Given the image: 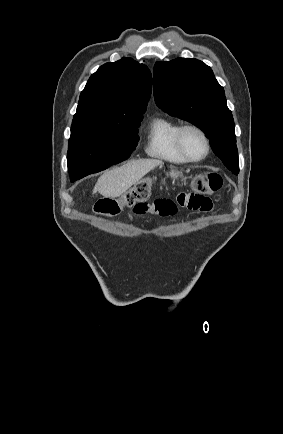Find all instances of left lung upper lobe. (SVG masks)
Returning <instances> with one entry per match:
<instances>
[{"label":"left lung upper lobe","instance_id":"obj_1","mask_svg":"<svg viewBox=\"0 0 283 434\" xmlns=\"http://www.w3.org/2000/svg\"><path fill=\"white\" fill-rule=\"evenodd\" d=\"M153 76L157 106L203 130L215 155L237 175L235 124L224 89L211 68L197 59L177 58L157 62Z\"/></svg>","mask_w":283,"mask_h":434}]
</instances>
